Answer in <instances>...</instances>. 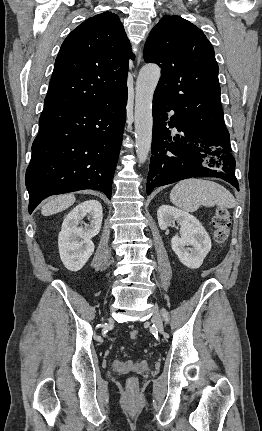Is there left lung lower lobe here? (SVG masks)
<instances>
[{"label": "left lung lower lobe", "mask_w": 262, "mask_h": 431, "mask_svg": "<svg viewBox=\"0 0 262 431\" xmlns=\"http://www.w3.org/2000/svg\"><path fill=\"white\" fill-rule=\"evenodd\" d=\"M162 96L154 93L152 156L146 191L192 177H218L239 190L228 131L206 135L183 122ZM173 110V109H172ZM180 134L171 136L169 128Z\"/></svg>", "instance_id": "obj_1"}]
</instances>
